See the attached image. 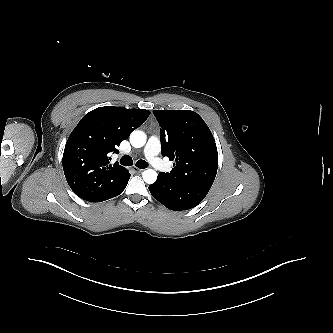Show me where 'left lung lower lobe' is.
Instances as JSON below:
<instances>
[{"instance_id": "1", "label": "left lung lower lobe", "mask_w": 333, "mask_h": 333, "mask_svg": "<svg viewBox=\"0 0 333 333\" xmlns=\"http://www.w3.org/2000/svg\"><path fill=\"white\" fill-rule=\"evenodd\" d=\"M152 196L170 210H188L197 206L209 189L180 184L169 175L160 172L157 181L149 186Z\"/></svg>"}]
</instances>
